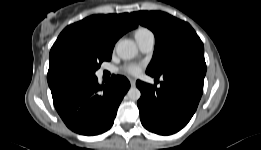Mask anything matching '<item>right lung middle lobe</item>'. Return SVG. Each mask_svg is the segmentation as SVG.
<instances>
[{"instance_id":"right-lung-middle-lobe-1","label":"right lung middle lobe","mask_w":261,"mask_h":150,"mask_svg":"<svg viewBox=\"0 0 261 150\" xmlns=\"http://www.w3.org/2000/svg\"><path fill=\"white\" fill-rule=\"evenodd\" d=\"M112 50L85 36L71 37L52 52L51 62L56 77L61 80L95 76L103 61H110Z\"/></svg>"}]
</instances>
